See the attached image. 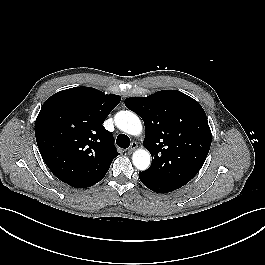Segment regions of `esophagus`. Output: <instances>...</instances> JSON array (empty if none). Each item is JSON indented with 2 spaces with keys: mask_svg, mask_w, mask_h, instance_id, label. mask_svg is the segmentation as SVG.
I'll list each match as a JSON object with an SVG mask.
<instances>
[{
  "mask_svg": "<svg viewBox=\"0 0 265 265\" xmlns=\"http://www.w3.org/2000/svg\"><path fill=\"white\" fill-rule=\"evenodd\" d=\"M136 148H137V143L133 141V142L131 143L130 147L128 148L127 152H128L129 154H131Z\"/></svg>",
  "mask_w": 265,
  "mask_h": 265,
  "instance_id": "esophagus-1",
  "label": "esophagus"
}]
</instances>
